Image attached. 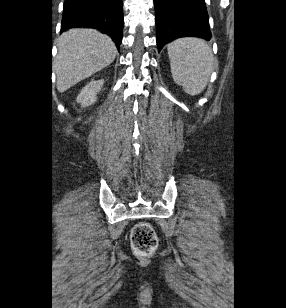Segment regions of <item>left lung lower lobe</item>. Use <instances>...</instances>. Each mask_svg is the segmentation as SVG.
I'll return each mask as SVG.
<instances>
[{
  "mask_svg": "<svg viewBox=\"0 0 286 308\" xmlns=\"http://www.w3.org/2000/svg\"><path fill=\"white\" fill-rule=\"evenodd\" d=\"M158 51L174 39L212 34L205 0H154Z\"/></svg>",
  "mask_w": 286,
  "mask_h": 308,
  "instance_id": "left-lung-lower-lobe-1",
  "label": "left lung lower lobe"
}]
</instances>
